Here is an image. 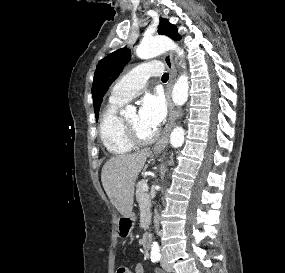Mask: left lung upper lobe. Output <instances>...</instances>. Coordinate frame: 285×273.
I'll return each mask as SVG.
<instances>
[{"label": "left lung upper lobe", "instance_id": "obj_1", "mask_svg": "<svg viewBox=\"0 0 285 273\" xmlns=\"http://www.w3.org/2000/svg\"><path fill=\"white\" fill-rule=\"evenodd\" d=\"M158 33L167 35L174 40L181 39L176 26L167 20L161 19ZM130 57V50L124 47L109 54L97 65L92 86L93 105L96 119H98L99 107L105 92L121 73L125 64L130 61Z\"/></svg>", "mask_w": 285, "mask_h": 273}]
</instances>
